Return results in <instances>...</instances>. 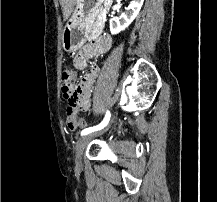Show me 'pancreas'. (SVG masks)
I'll list each match as a JSON object with an SVG mask.
<instances>
[{"label": "pancreas", "mask_w": 217, "mask_h": 202, "mask_svg": "<svg viewBox=\"0 0 217 202\" xmlns=\"http://www.w3.org/2000/svg\"><path fill=\"white\" fill-rule=\"evenodd\" d=\"M100 35V30H92V33L89 35V41H94L95 38H98Z\"/></svg>", "instance_id": "obj_1"}]
</instances>
